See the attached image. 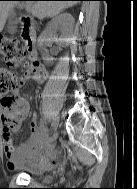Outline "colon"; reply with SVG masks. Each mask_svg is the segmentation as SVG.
Listing matches in <instances>:
<instances>
[{"instance_id":"obj_1","label":"colon","mask_w":137,"mask_h":189,"mask_svg":"<svg viewBox=\"0 0 137 189\" xmlns=\"http://www.w3.org/2000/svg\"><path fill=\"white\" fill-rule=\"evenodd\" d=\"M0 56L9 68L16 69L28 66L26 53L17 39L0 36ZM18 84V77L13 71L7 68H0L1 103L5 105L11 104L10 94L18 87Z\"/></svg>"}]
</instances>
